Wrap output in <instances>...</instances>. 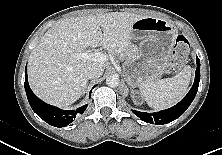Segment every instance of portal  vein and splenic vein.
I'll use <instances>...</instances> for the list:
<instances>
[{"instance_id":"18ae733b","label":"portal vein and splenic vein","mask_w":222,"mask_h":155,"mask_svg":"<svg viewBox=\"0 0 222 155\" xmlns=\"http://www.w3.org/2000/svg\"><path fill=\"white\" fill-rule=\"evenodd\" d=\"M79 59L82 60H92L95 62H105L108 60L107 55L101 53V52H85V53H80L78 55Z\"/></svg>"}]
</instances>
